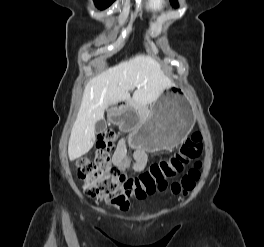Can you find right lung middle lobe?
Segmentation results:
<instances>
[{"instance_id": "dd1d6c3e", "label": "right lung middle lobe", "mask_w": 264, "mask_h": 247, "mask_svg": "<svg viewBox=\"0 0 264 247\" xmlns=\"http://www.w3.org/2000/svg\"><path fill=\"white\" fill-rule=\"evenodd\" d=\"M115 0H94L95 5L99 9H105L109 7Z\"/></svg>"}]
</instances>
